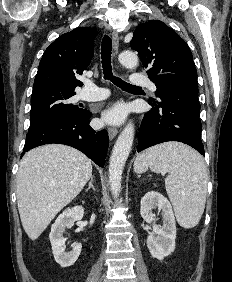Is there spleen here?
Here are the masks:
<instances>
[{"label": "spleen", "mask_w": 232, "mask_h": 282, "mask_svg": "<svg viewBox=\"0 0 232 282\" xmlns=\"http://www.w3.org/2000/svg\"><path fill=\"white\" fill-rule=\"evenodd\" d=\"M148 167L169 173L165 187L178 223L184 228L196 226L206 203L208 173L203 158L183 144L170 142L137 156L134 171L141 173Z\"/></svg>", "instance_id": "1"}]
</instances>
